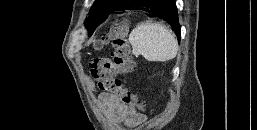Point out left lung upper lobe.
<instances>
[{"label":"left lung upper lobe","instance_id":"left-lung-upper-lobe-1","mask_svg":"<svg viewBox=\"0 0 257 130\" xmlns=\"http://www.w3.org/2000/svg\"><path fill=\"white\" fill-rule=\"evenodd\" d=\"M128 0H95L89 16L84 24L88 30L89 36L92 35L95 28L113 11L122 7Z\"/></svg>","mask_w":257,"mask_h":130}]
</instances>
